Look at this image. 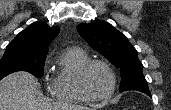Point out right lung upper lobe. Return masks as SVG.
Instances as JSON below:
<instances>
[{"instance_id":"1","label":"right lung upper lobe","mask_w":171,"mask_h":110,"mask_svg":"<svg viewBox=\"0 0 171 110\" xmlns=\"http://www.w3.org/2000/svg\"><path fill=\"white\" fill-rule=\"evenodd\" d=\"M59 31L57 26L49 27L44 22H35L20 32L7 48H16L27 54L47 55L48 46Z\"/></svg>"}]
</instances>
